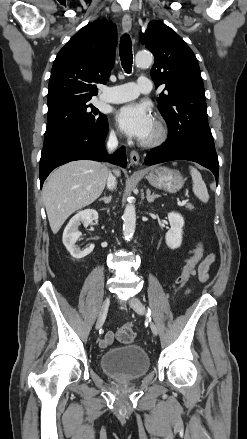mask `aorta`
I'll return each instance as SVG.
<instances>
[{
  "instance_id": "aorta-1",
  "label": "aorta",
  "mask_w": 247,
  "mask_h": 439,
  "mask_svg": "<svg viewBox=\"0 0 247 439\" xmlns=\"http://www.w3.org/2000/svg\"><path fill=\"white\" fill-rule=\"evenodd\" d=\"M153 63V56L149 52H138L135 57V64L137 67L146 68ZM136 227V211L135 206L131 200L125 207L123 214V235L125 240L130 241Z\"/></svg>"
}]
</instances>
